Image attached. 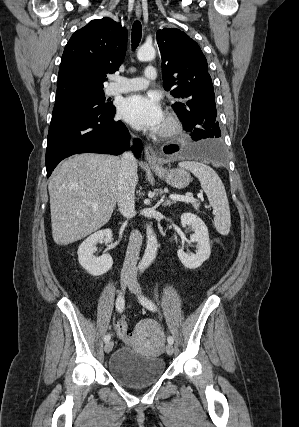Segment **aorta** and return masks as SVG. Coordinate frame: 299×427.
Here are the masks:
<instances>
[{
	"mask_svg": "<svg viewBox=\"0 0 299 427\" xmlns=\"http://www.w3.org/2000/svg\"><path fill=\"white\" fill-rule=\"evenodd\" d=\"M155 57V49L153 46L143 45L137 52L139 61H151ZM147 242L145 252L140 262L141 268H147L155 259L158 249V242L156 235L151 225L146 226Z\"/></svg>",
	"mask_w": 299,
	"mask_h": 427,
	"instance_id": "obj_1",
	"label": "aorta"
}]
</instances>
